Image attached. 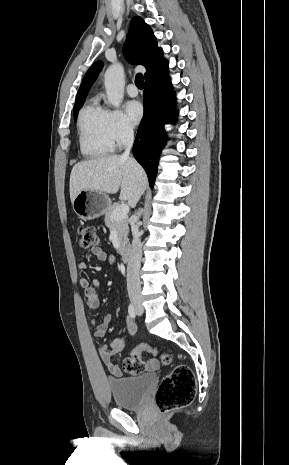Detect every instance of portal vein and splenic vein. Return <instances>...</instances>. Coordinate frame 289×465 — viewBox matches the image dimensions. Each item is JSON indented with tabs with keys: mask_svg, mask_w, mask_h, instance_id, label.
Segmentation results:
<instances>
[{
	"mask_svg": "<svg viewBox=\"0 0 289 465\" xmlns=\"http://www.w3.org/2000/svg\"><path fill=\"white\" fill-rule=\"evenodd\" d=\"M129 212V206L127 204L119 205L112 214V219L121 220L127 216Z\"/></svg>",
	"mask_w": 289,
	"mask_h": 465,
	"instance_id": "portal-vein-and-splenic-vein-1",
	"label": "portal vein and splenic vein"
}]
</instances>
